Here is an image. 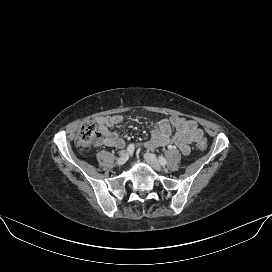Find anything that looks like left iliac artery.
I'll use <instances>...</instances> for the list:
<instances>
[{
  "label": "left iliac artery",
  "mask_w": 272,
  "mask_h": 272,
  "mask_svg": "<svg viewBox=\"0 0 272 272\" xmlns=\"http://www.w3.org/2000/svg\"><path fill=\"white\" fill-rule=\"evenodd\" d=\"M159 162H160L161 165H166L167 164V161L163 156L159 157Z\"/></svg>",
  "instance_id": "obj_1"
}]
</instances>
